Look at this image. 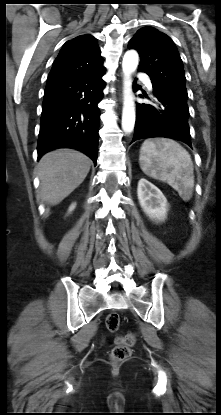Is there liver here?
Segmentation results:
<instances>
[{
	"instance_id": "6515ba94",
	"label": "liver",
	"mask_w": 221,
	"mask_h": 415,
	"mask_svg": "<svg viewBox=\"0 0 221 415\" xmlns=\"http://www.w3.org/2000/svg\"><path fill=\"white\" fill-rule=\"evenodd\" d=\"M91 160L73 149H57L46 153L38 163L42 200L57 205L86 178Z\"/></svg>"
}]
</instances>
